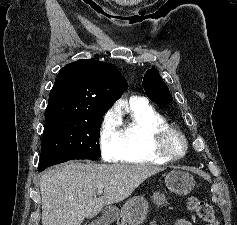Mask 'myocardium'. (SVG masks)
<instances>
[{
    "mask_svg": "<svg viewBox=\"0 0 237 225\" xmlns=\"http://www.w3.org/2000/svg\"><path fill=\"white\" fill-rule=\"evenodd\" d=\"M153 146L156 153L168 160L183 158L188 149V142L184 134L172 127H161L153 132ZM178 142L180 148H174L173 143Z\"/></svg>",
    "mask_w": 237,
    "mask_h": 225,
    "instance_id": "f54148a6",
    "label": "myocardium"
}]
</instances>
